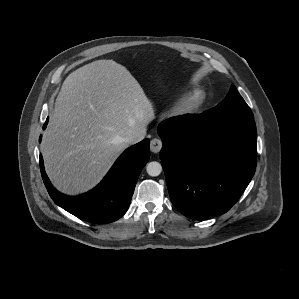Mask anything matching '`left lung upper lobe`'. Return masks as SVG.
<instances>
[{"label":"left lung upper lobe","mask_w":299,"mask_h":299,"mask_svg":"<svg viewBox=\"0 0 299 299\" xmlns=\"http://www.w3.org/2000/svg\"><path fill=\"white\" fill-rule=\"evenodd\" d=\"M204 116L215 121L254 120L251 109L232 85L226 98L216 107L203 112Z\"/></svg>","instance_id":"left-lung-upper-lobe-1"}]
</instances>
